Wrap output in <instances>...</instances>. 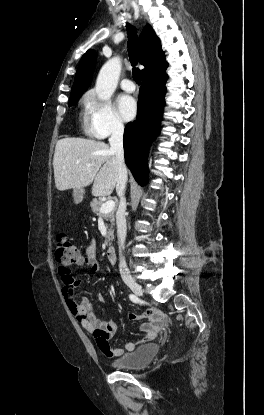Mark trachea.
I'll use <instances>...</instances> for the list:
<instances>
[{
	"mask_svg": "<svg viewBox=\"0 0 264 415\" xmlns=\"http://www.w3.org/2000/svg\"><path fill=\"white\" fill-rule=\"evenodd\" d=\"M126 29L128 33V56L133 67L132 74L135 82L140 85L141 73L139 68L136 67L139 61L137 33L135 28L129 23L126 24Z\"/></svg>",
	"mask_w": 264,
	"mask_h": 415,
	"instance_id": "3493384b",
	"label": "trachea"
}]
</instances>
